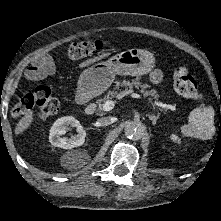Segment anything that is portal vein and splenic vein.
I'll use <instances>...</instances> for the list:
<instances>
[{
    "label": "portal vein and splenic vein",
    "instance_id": "18ae733b",
    "mask_svg": "<svg viewBox=\"0 0 221 221\" xmlns=\"http://www.w3.org/2000/svg\"><path fill=\"white\" fill-rule=\"evenodd\" d=\"M132 98H137V99H141L142 96L137 94V93H132L130 95ZM152 105L154 106H158V107H161L165 110H172V111H176V107L173 106V105H170V104H164V103H161V102H154L152 103ZM115 106V102L112 101V100H109V101H106L104 104H103V110L108 112L110 110H112Z\"/></svg>",
    "mask_w": 221,
    "mask_h": 221
}]
</instances>
